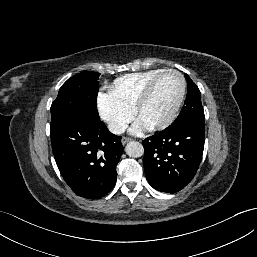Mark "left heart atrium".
Here are the masks:
<instances>
[{"label": "left heart atrium", "instance_id": "left-heart-atrium-1", "mask_svg": "<svg viewBox=\"0 0 257 257\" xmlns=\"http://www.w3.org/2000/svg\"><path fill=\"white\" fill-rule=\"evenodd\" d=\"M145 129H147V125L140 119H138L131 128V133L133 134H141Z\"/></svg>", "mask_w": 257, "mask_h": 257}]
</instances>
